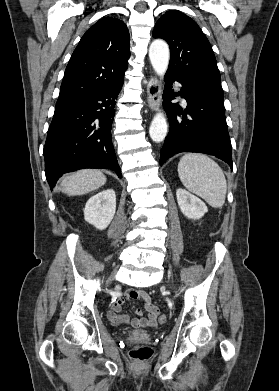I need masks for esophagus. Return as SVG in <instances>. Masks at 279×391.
I'll return each instance as SVG.
<instances>
[{
	"mask_svg": "<svg viewBox=\"0 0 279 391\" xmlns=\"http://www.w3.org/2000/svg\"><path fill=\"white\" fill-rule=\"evenodd\" d=\"M147 102L152 111H156L161 101L160 82L157 77H151L147 85Z\"/></svg>",
	"mask_w": 279,
	"mask_h": 391,
	"instance_id": "34e87169",
	"label": "esophagus"
}]
</instances>
